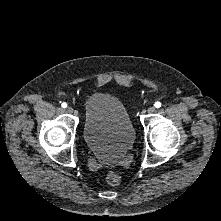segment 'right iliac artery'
Returning a JSON list of instances; mask_svg holds the SVG:
<instances>
[{"label":"right iliac artery","mask_w":221,"mask_h":221,"mask_svg":"<svg viewBox=\"0 0 221 221\" xmlns=\"http://www.w3.org/2000/svg\"><path fill=\"white\" fill-rule=\"evenodd\" d=\"M61 106H62L63 108H66V107H67V104L64 102V103L61 104Z\"/></svg>","instance_id":"82829eb1"}]
</instances>
